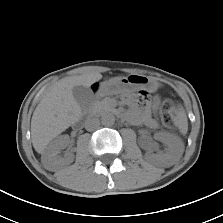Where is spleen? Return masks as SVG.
Returning <instances> with one entry per match:
<instances>
[{
    "mask_svg": "<svg viewBox=\"0 0 223 223\" xmlns=\"http://www.w3.org/2000/svg\"><path fill=\"white\" fill-rule=\"evenodd\" d=\"M177 119L182 132L187 131V117L182 107L178 108Z\"/></svg>",
    "mask_w": 223,
    "mask_h": 223,
    "instance_id": "obj_1",
    "label": "spleen"
}]
</instances>
